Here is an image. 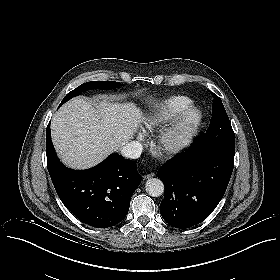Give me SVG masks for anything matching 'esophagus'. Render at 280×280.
Segmentation results:
<instances>
[{"label":"esophagus","mask_w":280,"mask_h":280,"mask_svg":"<svg viewBox=\"0 0 280 280\" xmlns=\"http://www.w3.org/2000/svg\"><path fill=\"white\" fill-rule=\"evenodd\" d=\"M154 176H155V173H150V174H147V175H143L142 178H143L144 180H146V179H150V178H152V177H154Z\"/></svg>","instance_id":"obj_1"}]
</instances>
